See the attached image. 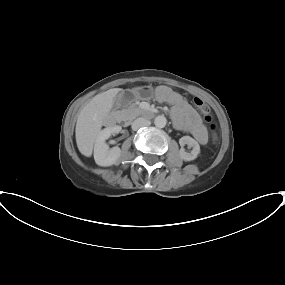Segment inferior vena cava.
<instances>
[{
  "instance_id": "602c4592",
  "label": "inferior vena cava",
  "mask_w": 285,
  "mask_h": 285,
  "mask_svg": "<svg viewBox=\"0 0 285 285\" xmlns=\"http://www.w3.org/2000/svg\"><path fill=\"white\" fill-rule=\"evenodd\" d=\"M150 124L151 122L145 118H137L132 123V129L136 131L141 127L149 126Z\"/></svg>"
}]
</instances>
